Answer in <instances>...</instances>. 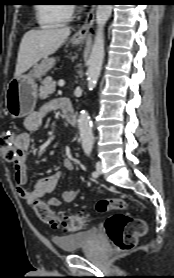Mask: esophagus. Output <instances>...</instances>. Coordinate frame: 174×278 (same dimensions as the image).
I'll list each match as a JSON object with an SVG mask.
<instances>
[{"mask_svg": "<svg viewBox=\"0 0 174 278\" xmlns=\"http://www.w3.org/2000/svg\"><path fill=\"white\" fill-rule=\"evenodd\" d=\"M95 11H96V7L92 6L91 9L89 10V12L87 13V17L85 19L84 24L77 31V33H76L77 36L85 37L89 33V30L95 20Z\"/></svg>", "mask_w": 174, "mask_h": 278, "instance_id": "1", "label": "esophagus"}]
</instances>
